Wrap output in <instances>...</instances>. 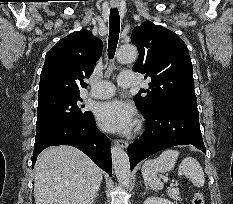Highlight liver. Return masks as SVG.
Masks as SVG:
<instances>
[{
	"label": "liver",
	"instance_id": "1",
	"mask_svg": "<svg viewBox=\"0 0 233 204\" xmlns=\"http://www.w3.org/2000/svg\"><path fill=\"white\" fill-rule=\"evenodd\" d=\"M101 181V169L80 150L67 145L48 147L35 164V203L90 204Z\"/></svg>",
	"mask_w": 233,
	"mask_h": 204
}]
</instances>
